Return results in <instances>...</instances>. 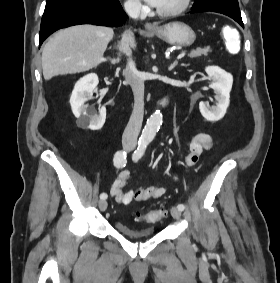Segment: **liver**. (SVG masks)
I'll return each mask as SVG.
<instances>
[{"mask_svg":"<svg viewBox=\"0 0 280 283\" xmlns=\"http://www.w3.org/2000/svg\"><path fill=\"white\" fill-rule=\"evenodd\" d=\"M113 29L94 25H78L58 31L42 51V69L46 80L56 75L90 70L105 61L103 57ZM130 46L136 48L130 32Z\"/></svg>","mask_w":280,"mask_h":283,"instance_id":"liver-1","label":"liver"}]
</instances>
